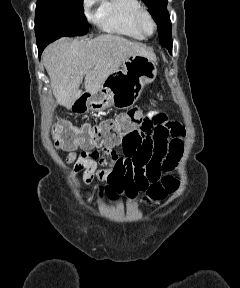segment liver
<instances>
[{
    "mask_svg": "<svg viewBox=\"0 0 240 288\" xmlns=\"http://www.w3.org/2000/svg\"><path fill=\"white\" fill-rule=\"evenodd\" d=\"M134 54L156 58L139 43L117 35L73 41L64 37L46 47L43 64L57 103L70 109L82 95L83 77L86 93L94 96L123 61Z\"/></svg>",
    "mask_w": 240,
    "mask_h": 288,
    "instance_id": "liver-1",
    "label": "liver"
}]
</instances>
